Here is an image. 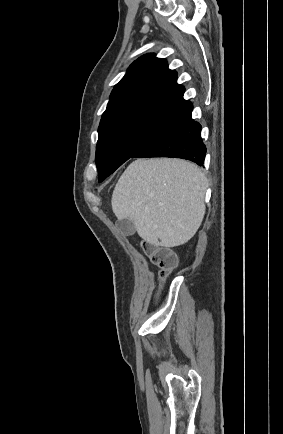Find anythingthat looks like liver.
I'll return each instance as SVG.
<instances>
[{
    "label": "liver",
    "instance_id": "obj_1",
    "mask_svg": "<svg viewBox=\"0 0 283 434\" xmlns=\"http://www.w3.org/2000/svg\"><path fill=\"white\" fill-rule=\"evenodd\" d=\"M207 179L181 159H137L119 178L112 194L118 221L128 218L147 243L166 248L188 242L206 211Z\"/></svg>",
    "mask_w": 283,
    "mask_h": 434
}]
</instances>
